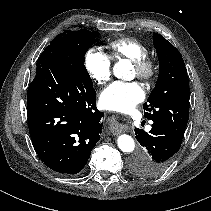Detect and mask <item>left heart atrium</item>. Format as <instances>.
Wrapping results in <instances>:
<instances>
[{
  "instance_id": "39dd6f15",
  "label": "left heart atrium",
  "mask_w": 211,
  "mask_h": 211,
  "mask_svg": "<svg viewBox=\"0 0 211 211\" xmlns=\"http://www.w3.org/2000/svg\"><path fill=\"white\" fill-rule=\"evenodd\" d=\"M145 92L137 82L116 81L100 95L101 106L107 110L126 113L143 101Z\"/></svg>"
}]
</instances>
